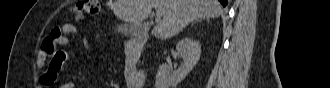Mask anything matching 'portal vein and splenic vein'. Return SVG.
<instances>
[{
  "label": "portal vein and splenic vein",
  "instance_id": "obj_1",
  "mask_svg": "<svg viewBox=\"0 0 330 88\" xmlns=\"http://www.w3.org/2000/svg\"><path fill=\"white\" fill-rule=\"evenodd\" d=\"M163 14H164V12L163 11H161V10H157L156 11V17H157V19H161V17L163 16Z\"/></svg>",
  "mask_w": 330,
  "mask_h": 88
}]
</instances>
